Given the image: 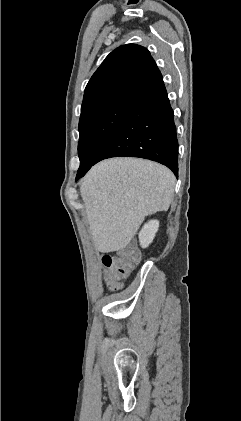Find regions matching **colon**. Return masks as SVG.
I'll return each instance as SVG.
<instances>
[{
  "mask_svg": "<svg viewBox=\"0 0 241 421\" xmlns=\"http://www.w3.org/2000/svg\"><path fill=\"white\" fill-rule=\"evenodd\" d=\"M131 3H138L140 0H130ZM138 252L131 247L121 249L115 255H105L102 259L106 278L111 284L127 277L138 262Z\"/></svg>",
  "mask_w": 241,
  "mask_h": 421,
  "instance_id": "colon-1",
  "label": "colon"
}]
</instances>
